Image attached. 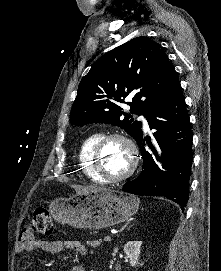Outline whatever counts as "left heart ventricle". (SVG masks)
<instances>
[{
	"label": "left heart ventricle",
	"mask_w": 221,
	"mask_h": 271,
	"mask_svg": "<svg viewBox=\"0 0 221 271\" xmlns=\"http://www.w3.org/2000/svg\"><path fill=\"white\" fill-rule=\"evenodd\" d=\"M101 141H105V144H101L102 152H98L100 157L98 163L104 167V172L108 173V177H120L121 169H127L129 166L128 161H124V156H128L127 152L122 149V144L127 140L114 137Z\"/></svg>",
	"instance_id": "left-heart-ventricle-1"
}]
</instances>
